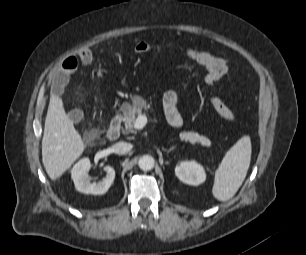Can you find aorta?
Here are the masks:
<instances>
[{
    "label": "aorta",
    "mask_w": 306,
    "mask_h": 255,
    "mask_svg": "<svg viewBox=\"0 0 306 255\" xmlns=\"http://www.w3.org/2000/svg\"><path fill=\"white\" fill-rule=\"evenodd\" d=\"M154 164H155V160L150 155H144L138 161V166L143 171H149V170L153 169Z\"/></svg>",
    "instance_id": "aorta-1"
}]
</instances>
